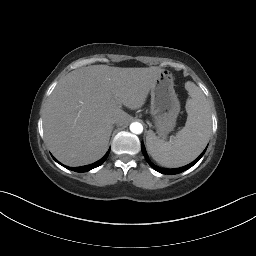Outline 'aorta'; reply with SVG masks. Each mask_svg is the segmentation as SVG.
<instances>
[{"label":"aorta","instance_id":"aorta-1","mask_svg":"<svg viewBox=\"0 0 256 256\" xmlns=\"http://www.w3.org/2000/svg\"><path fill=\"white\" fill-rule=\"evenodd\" d=\"M130 131L134 134H141L143 132V126L139 122H133L130 124Z\"/></svg>","mask_w":256,"mask_h":256}]
</instances>
